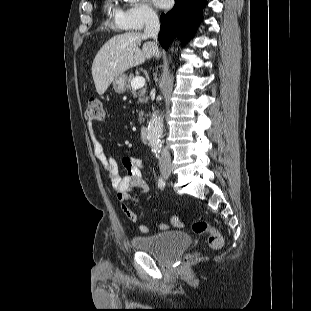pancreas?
Listing matches in <instances>:
<instances>
[{
	"label": "pancreas",
	"mask_w": 311,
	"mask_h": 311,
	"mask_svg": "<svg viewBox=\"0 0 311 311\" xmlns=\"http://www.w3.org/2000/svg\"><path fill=\"white\" fill-rule=\"evenodd\" d=\"M134 79L133 76H130L128 79H127V86H126V89L131 91L133 96L134 97H138L139 98V102L140 103H144V102H147L148 98L146 97V89L145 88H142V89H139L138 91H136V89H134L131 85V82L132 80ZM139 123H142L144 121V118H143V111H140L139 112V119H138Z\"/></svg>",
	"instance_id": "pancreas-1"
}]
</instances>
